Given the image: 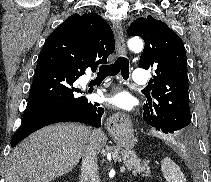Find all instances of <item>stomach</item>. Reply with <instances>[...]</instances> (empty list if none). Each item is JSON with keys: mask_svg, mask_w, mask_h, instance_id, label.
<instances>
[{"mask_svg": "<svg viewBox=\"0 0 211 182\" xmlns=\"http://www.w3.org/2000/svg\"><path fill=\"white\" fill-rule=\"evenodd\" d=\"M111 135L117 145L121 148L132 149L135 145V138L131 129L118 128L111 130Z\"/></svg>", "mask_w": 211, "mask_h": 182, "instance_id": "1", "label": "stomach"}]
</instances>
